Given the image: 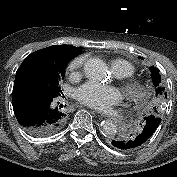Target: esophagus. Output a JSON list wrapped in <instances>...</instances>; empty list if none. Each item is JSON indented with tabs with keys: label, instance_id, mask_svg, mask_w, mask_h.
Instances as JSON below:
<instances>
[{
	"label": "esophagus",
	"instance_id": "1",
	"mask_svg": "<svg viewBox=\"0 0 177 177\" xmlns=\"http://www.w3.org/2000/svg\"><path fill=\"white\" fill-rule=\"evenodd\" d=\"M96 112H97V111H96ZM98 115H99L100 117L106 116V115H105V112H104L103 110H100V111L98 112Z\"/></svg>",
	"mask_w": 177,
	"mask_h": 177
}]
</instances>
